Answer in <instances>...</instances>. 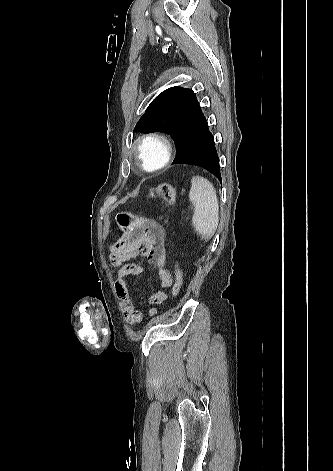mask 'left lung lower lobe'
Segmentation results:
<instances>
[{
	"instance_id": "0a47b994",
	"label": "left lung lower lobe",
	"mask_w": 333,
	"mask_h": 471,
	"mask_svg": "<svg viewBox=\"0 0 333 471\" xmlns=\"http://www.w3.org/2000/svg\"><path fill=\"white\" fill-rule=\"evenodd\" d=\"M172 164H191L205 168L221 181L220 165L214 137L206 118L198 125L190 141L176 155Z\"/></svg>"
}]
</instances>
